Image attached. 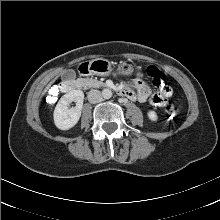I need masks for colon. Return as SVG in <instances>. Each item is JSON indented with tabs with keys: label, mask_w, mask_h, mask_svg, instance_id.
I'll return each mask as SVG.
<instances>
[{
	"label": "colon",
	"mask_w": 220,
	"mask_h": 220,
	"mask_svg": "<svg viewBox=\"0 0 220 220\" xmlns=\"http://www.w3.org/2000/svg\"><path fill=\"white\" fill-rule=\"evenodd\" d=\"M167 83L168 78L164 72L153 65L147 67L146 84L150 90L158 91L164 89L167 86ZM154 100L158 106H163L165 108V115L169 121L177 120L178 111L173 102L161 97H155Z\"/></svg>",
	"instance_id": "5ec220e1"
}]
</instances>
